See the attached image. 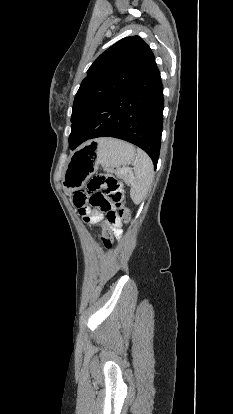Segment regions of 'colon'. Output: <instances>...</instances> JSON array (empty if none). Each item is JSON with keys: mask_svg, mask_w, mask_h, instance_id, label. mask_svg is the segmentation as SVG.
<instances>
[{"mask_svg": "<svg viewBox=\"0 0 233 414\" xmlns=\"http://www.w3.org/2000/svg\"><path fill=\"white\" fill-rule=\"evenodd\" d=\"M73 201L78 209L92 206L104 212V224L116 218L127 224L131 219L130 209L124 201L123 184L111 175L98 174L94 176L88 182L85 191L74 193ZM102 242L106 248H111L112 237L107 229H104Z\"/></svg>", "mask_w": 233, "mask_h": 414, "instance_id": "1", "label": "colon"}]
</instances>
